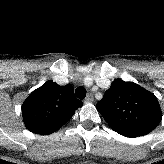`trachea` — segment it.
Returning a JSON list of instances; mask_svg holds the SVG:
<instances>
[{"mask_svg":"<svg viewBox=\"0 0 164 164\" xmlns=\"http://www.w3.org/2000/svg\"><path fill=\"white\" fill-rule=\"evenodd\" d=\"M75 93H76V96H77L79 99L83 100V99L85 98V96H86V89H85L84 87H82V86H79V87L76 89Z\"/></svg>","mask_w":164,"mask_h":164,"instance_id":"3493384b","label":"trachea"}]
</instances>
